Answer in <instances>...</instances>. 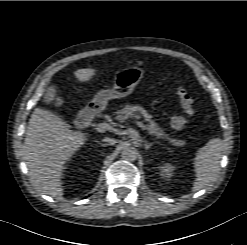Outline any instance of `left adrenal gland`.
Instances as JSON below:
<instances>
[{
    "instance_id": "a2214340",
    "label": "left adrenal gland",
    "mask_w": 247,
    "mask_h": 245,
    "mask_svg": "<svg viewBox=\"0 0 247 245\" xmlns=\"http://www.w3.org/2000/svg\"><path fill=\"white\" fill-rule=\"evenodd\" d=\"M153 144L154 143H148L147 141H144V147L146 151H148L151 148V146H153Z\"/></svg>"
}]
</instances>
